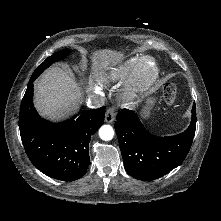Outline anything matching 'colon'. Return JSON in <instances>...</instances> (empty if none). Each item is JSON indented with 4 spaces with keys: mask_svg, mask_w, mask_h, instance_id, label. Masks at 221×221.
Wrapping results in <instances>:
<instances>
[{
    "mask_svg": "<svg viewBox=\"0 0 221 221\" xmlns=\"http://www.w3.org/2000/svg\"><path fill=\"white\" fill-rule=\"evenodd\" d=\"M164 100L168 106H173L177 96V87L174 83H167L163 91Z\"/></svg>",
    "mask_w": 221,
    "mask_h": 221,
    "instance_id": "1",
    "label": "colon"
}]
</instances>
